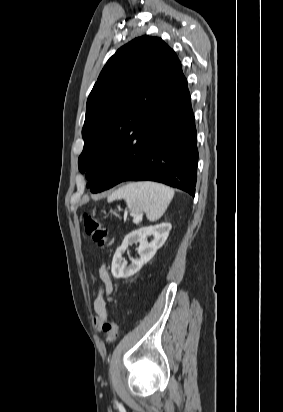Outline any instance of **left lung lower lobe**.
I'll return each instance as SVG.
<instances>
[{
    "mask_svg": "<svg viewBox=\"0 0 283 412\" xmlns=\"http://www.w3.org/2000/svg\"><path fill=\"white\" fill-rule=\"evenodd\" d=\"M198 150L187 81L157 120L141 150H118L100 168L94 193L124 181L150 180L195 195Z\"/></svg>",
    "mask_w": 283,
    "mask_h": 412,
    "instance_id": "obj_1",
    "label": "left lung lower lobe"
}]
</instances>
